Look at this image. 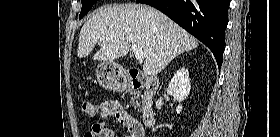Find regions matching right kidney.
<instances>
[{"label":"right kidney","mask_w":280,"mask_h":137,"mask_svg":"<svg viewBox=\"0 0 280 137\" xmlns=\"http://www.w3.org/2000/svg\"><path fill=\"white\" fill-rule=\"evenodd\" d=\"M190 89L191 84L188 69L181 68L177 70L167 88V93L179 102V105L176 108L177 114H180L182 111L181 103L189 95Z\"/></svg>","instance_id":"right-kidney-1"}]
</instances>
